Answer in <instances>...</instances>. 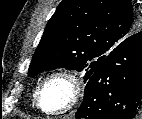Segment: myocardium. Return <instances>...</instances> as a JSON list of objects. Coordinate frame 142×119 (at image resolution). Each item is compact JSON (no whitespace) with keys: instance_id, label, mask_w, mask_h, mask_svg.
Wrapping results in <instances>:
<instances>
[{"instance_id":"obj_1","label":"myocardium","mask_w":142,"mask_h":119,"mask_svg":"<svg viewBox=\"0 0 142 119\" xmlns=\"http://www.w3.org/2000/svg\"><path fill=\"white\" fill-rule=\"evenodd\" d=\"M57 79L64 80L68 83V85L70 86V97L63 107L59 109H47L42 105L43 92L51 81ZM83 89V81L76 72L70 70L55 71L47 75L40 84L35 95V102L38 109L44 114L53 116L63 115L73 110L78 105L83 95Z\"/></svg>"}]
</instances>
